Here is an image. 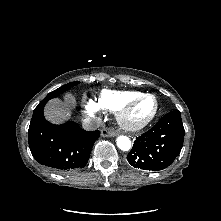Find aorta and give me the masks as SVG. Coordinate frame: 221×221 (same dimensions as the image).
Wrapping results in <instances>:
<instances>
[{
	"label": "aorta",
	"instance_id": "obj_1",
	"mask_svg": "<svg viewBox=\"0 0 221 221\" xmlns=\"http://www.w3.org/2000/svg\"><path fill=\"white\" fill-rule=\"evenodd\" d=\"M117 146L123 151H128L131 148V141L127 136H119L116 140Z\"/></svg>",
	"mask_w": 221,
	"mask_h": 221
}]
</instances>
